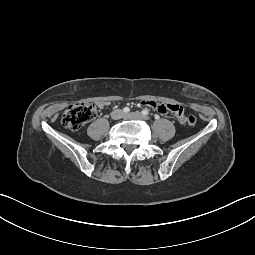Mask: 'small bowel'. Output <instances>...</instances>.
<instances>
[{"label": "small bowel", "mask_w": 255, "mask_h": 255, "mask_svg": "<svg viewBox=\"0 0 255 255\" xmlns=\"http://www.w3.org/2000/svg\"><path fill=\"white\" fill-rule=\"evenodd\" d=\"M107 102L101 101L98 103L100 108L107 106ZM142 104L148 107H151L161 114H172V118L178 125H185L188 122V119L191 116V111L187 107H182L175 104L163 103L155 100H144Z\"/></svg>", "instance_id": "1"}]
</instances>
